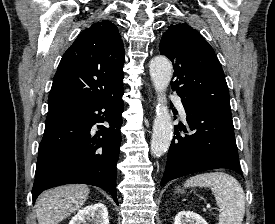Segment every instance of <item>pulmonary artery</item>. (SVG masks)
<instances>
[{"instance_id": "1", "label": "pulmonary artery", "mask_w": 275, "mask_h": 224, "mask_svg": "<svg viewBox=\"0 0 275 224\" xmlns=\"http://www.w3.org/2000/svg\"><path fill=\"white\" fill-rule=\"evenodd\" d=\"M172 100L175 102L176 106H177V109L180 113V115L185 118L186 117V113H185V109L183 107V104H182V101H181V98L176 96V95H173L172 97Z\"/></svg>"}]
</instances>
